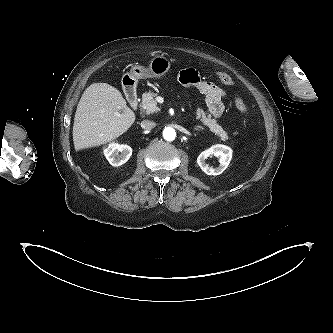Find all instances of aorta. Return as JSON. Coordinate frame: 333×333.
<instances>
[{
    "mask_svg": "<svg viewBox=\"0 0 333 333\" xmlns=\"http://www.w3.org/2000/svg\"><path fill=\"white\" fill-rule=\"evenodd\" d=\"M163 137L165 140L167 141H172L175 139L176 137V131L175 129L171 128V127H167L163 130Z\"/></svg>",
    "mask_w": 333,
    "mask_h": 333,
    "instance_id": "1",
    "label": "aorta"
}]
</instances>
